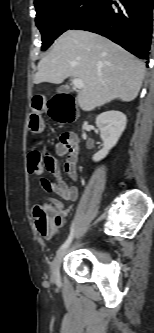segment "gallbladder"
I'll list each match as a JSON object with an SVG mask.
<instances>
[{
	"mask_svg": "<svg viewBox=\"0 0 154 333\" xmlns=\"http://www.w3.org/2000/svg\"><path fill=\"white\" fill-rule=\"evenodd\" d=\"M57 92L58 93H66V92H68V87L67 86H60L59 88H57Z\"/></svg>",
	"mask_w": 154,
	"mask_h": 333,
	"instance_id": "obj_1",
	"label": "gallbladder"
}]
</instances>
